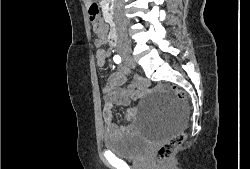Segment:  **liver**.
Masks as SVG:
<instances>
[{"label":"liver","mask_w":250,"mask_h":169,"mask_svg":"<svg viewBox=\"0 0 250 169\" xmlns=\"http://www.w3.org/2000/svg\"><path fill=\"white\" fill-rule=\"evenodd\" d=\"M86 8L92 4L93 0H84Z\"/></svg>","instance_id":"obj_1"}]
</instances>
